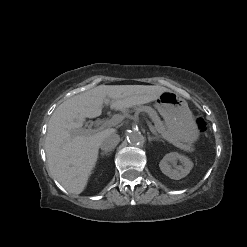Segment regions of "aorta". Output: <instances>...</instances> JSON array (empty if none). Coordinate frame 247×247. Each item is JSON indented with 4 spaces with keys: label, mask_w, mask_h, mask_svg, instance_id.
I'll list each match as a JSON object with an SVG mask.
<instances>
[{
    "label": "aorta",
    "mask_w": 247,
    "mask_h": 247,
    "mask_svg": "<svg viewBox=\"0 0 247 247\" xmlns=\"http://www.w3.org/2000/svg\"><path fill=\"white\" fill-rule=\"evenodd\" d=\"M127 141L131 146H139L144 143L145 139L141 132L133 130L127 134Z\"/></svg>",
    "instance_id": "1"
}]
</instances>
